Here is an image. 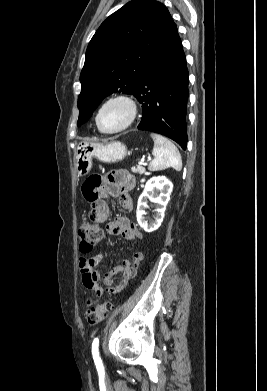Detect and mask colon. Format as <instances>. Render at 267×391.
I'll return each mask as SVG.
<instances>
[{"label": "colon", "mask_w": 267, "mask_h": 391, "mask_svg": "<svg viewBox=\"0 0 267 391\" xmlns=\"http://www.w3.org/2000/svg\"><path fill=\"white\" fill-rule=\"evenodd\" d=\"M102 236L103 230L99 224L84 221L78 228L80 251L84 254L90 253ZM111 309L112 304L109 302L99 303L90 299L87 301L85 316L89 324H98L106 318Z\"/></svg>", "instance_id": "1"}]
</instances>
